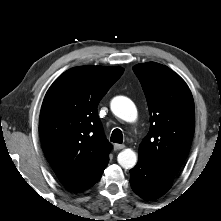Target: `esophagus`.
<instances>
[{
  "instance_id": "esophagus-1",
  "label": "esophagus",
  "mask_w": 221,
  "mask_h": 221,
  "mask_svg": "<svg viewBox=\"0 0 221 221\" xmlns=\"http://www.w3.org/2000/svg\"><path fill=\"white\" fill-rule=\"evenodd\" d=\"M123 148H125V145H123V144H115L114 145V150H116V151L121 150Z\"/></svg>"
}]
</instances>
